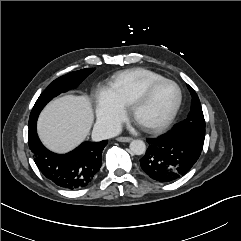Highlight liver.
<instances>
[{"label":"liver","mask_w":241,"mask_h":241,"mask_svg":"<svg viewBox=\"0 0 241 241\" xmlns=\"http://www.w3.org/2000/svg\"><path fill=\"white\" fill-rule=\"evenodd\" d=\"M93 119L87 96L66 95L44 108L38 119V134L48 149L65 153L85 140Z\"/></svg>","instance_id":"obj_1"}]
</instances>
